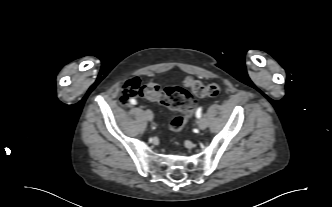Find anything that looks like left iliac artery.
<instances>
[{
	"instance_id": "left-iliac-artery-1",
	"label": "left iliac artery",
	"mask_w": 332,
	"mask_h": 207,
	"mask_svg": "<svg viewBox=\"0 0 332 207\" xmlns=\"http://www.w3.org/2000/svg\"><path fill=\"white\" fill-rule=\"evenodd\" d=\"M201 116H202V108L200 107V108H198L197 111H196V117H197V118H201Z\"/></svg>"
}]
</instances>
